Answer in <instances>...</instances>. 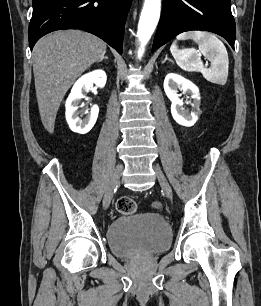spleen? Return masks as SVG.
<instances>
[{
	"label": "spleen",
	"mask_w": 261,
	"mask_h": 306,
	"mask_svg": "<svg viewBox=\"0 0 261 306\" xmlns=\"http://www.w3.org/2000/svg\"><path fill=\"white\" fill-rule=\"evenodd\" d=\"M191 39L198 45L193 48L179 50L177 41ZM171 53L177 65L188 72H201L210 82L225 85L228 77L229 59L227 50L215 35L206 31H187L179 34L171 45ZM211 62L210 68H205L200 55Z\"/></svg>",
	"instance_id": "1"
}]
</instances>
